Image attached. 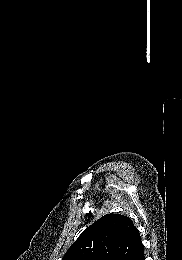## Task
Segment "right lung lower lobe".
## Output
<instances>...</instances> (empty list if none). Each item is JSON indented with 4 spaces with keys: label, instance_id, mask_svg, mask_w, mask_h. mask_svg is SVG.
Masks as SVG:
<instances>
[{
    "label": "right lung lower lobe",
    "instance_id": "obj_1",
    "mask_svg": "<svg viewBox=\"0 0 182 260\" xmlns=\"http://www.w3.org/2000/svg\"><path fill=\"white\" fill-rule=\"evenodd\" d=\"M131 260H145L144 248L140 252H138L135 256H133Z\"/></svg>",
    "mask_w": 182,
    "mask_h": 260
}]
</instances>
